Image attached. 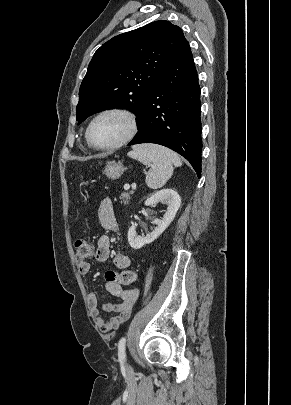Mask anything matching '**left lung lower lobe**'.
I'll list each match as a JSON object with an SVG mask.
<instances>
[{"label":"left lung lower lobe","instance_id":"1","mask_svg":"<svg viewBox=\"0 0 291 405\" xmlns=\"http://www.w3.org/2000/svg\"><path fill=\"white\" fill-rule=\"evenodd\" d=\"M200 86L188 41L151 87L140 132L128 144L155 143L186 158L201 177Z\"/></svg>","mask_w":291,"mask_h":405}]
</instances>
